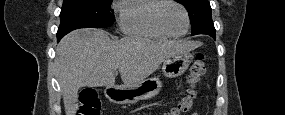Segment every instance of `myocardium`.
I'll return each mask as SVG.
<instances>
[{
	"mask_svg": "<svg viewBox=\"0 0 285 115\" xmlns=\"http://www.w3.org/2000/svg\"><path fill=\"white\" fill-rule=\"evenodd\" d=\"M166 4H174V5H177L179 6L184 15H185V19H186V28L185 30L180 33V34H173L171 33L170 31H168L165 26L162 24L161 22V18H160V11H161V8L166 5ZM154 22L156 24V26L164 33L166 34L167 36H169L170 38H180V37H183L185 36L189 29H190V15H189V12L188 10L186 9V7L181 4L180 2L178 1H173V0H163V1H159L156 8H155V12H154Z\"/></svg>",
	"mask_w": 285,
	"mask_h": 115,
	"instance_id": "obj_1",
	"label": "myocardium"
}]
</instances>
